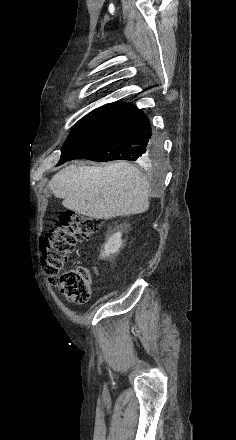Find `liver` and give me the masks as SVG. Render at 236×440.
<instances>
[{"label": "liver", "mask_w": 236, "mask_h": 440, "mask_svg": "<svg viewBox=\"0 0 236 440\" xmlns=\"http://www.w3.org/2000/svg\"><path fill=\"white\" fill-rule=\"evenodd\" d=\"M48 187L62 205L95 219L144 213L149 208V183L125 161L104 167L70 165L55 174Z\"/></svg>", "instance_id": "liver-1"}]
</instances>
